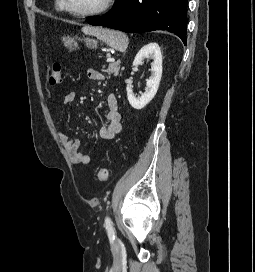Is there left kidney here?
<instances>
[{
    "instance_id": "left-kidney-1",
    "label": "left kidney",
    "mask_w": 255,
    "mask_h": 272,
    "mask_svg": "<svg viewBox=\"0 0 255 272\" xmlns=\"http://www.w3.org/2000/svg\"><path fill=\"white\" fill-rule=\"evenodd\" d=\"M145 58L153 59L151 76L147 80L145 92L141 97H136L131 87L126 88L128 101L135 109H142L154 98L162 77V54L157 43H149L142 47L133 61V66L142 64Z\"/></svg>"
}]
</instances>
